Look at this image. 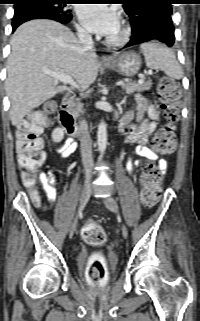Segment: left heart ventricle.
<instances>
[{"label": "left heart ventricle", "mask_w": 200, "mask_h": 321, "mask_svg": "<svg viewBox=\"0 0 200 321\" xmlns=\"http://www.w3.org/2000/svg\"><path fill=\"white\" fill-rule=\"evenodd\" d=\"M119 34H120V27L113 34H111L110 37H117L119 36Z\"/></svg>", "instance_id": "b2bd125f"}]
</instances>
